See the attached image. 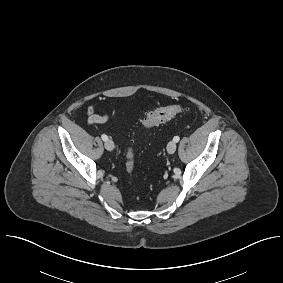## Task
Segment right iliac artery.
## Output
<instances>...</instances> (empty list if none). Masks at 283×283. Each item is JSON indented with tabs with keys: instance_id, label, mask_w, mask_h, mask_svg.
I'll list each match as a JSON object with an SVG mask.
<instances>
[{
	"instance_id": "right-iliac-artery-1",
	"label": "right iliac artery",
	"mask_w": 283,
	"mask_h": 283,
	"mask_svg": "<svg viewBox=\"0 0 283 283\" xmlns=\"http://www.w3.org/2000/svg\"><path fill=\"white\" fill-rule=\"evenodd\" d=\"M101 138H102V140H103V141L108 140V136H107V135H105V134H103V135L101 136Z\"/></svg>"
}]
</instances>
